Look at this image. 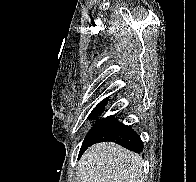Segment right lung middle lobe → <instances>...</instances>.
<instances>
[{"label":"right lung middle lobe","mask_w":196,"mask_h":182,"mask_svg":"<svg viewBox=\"0 0 196 182\" xmlns=\"http://www.w3.org/2000/svg\"><path fill=\"white\" fill-rule=\"evenodd\" d=\"M103 104L102 105H97V107H95L93 109V111L90 114V118H93L94 116H96V114H98L99 112L103 111ZM117 121L114 118V116H108L104 119L98 120L93 127L91 128V130L88 132V134L86 135L84 142L82 144V147L80 149V153L83 152L87 147H89V145L95 140V138L101 134L104 130H106L107 128H109L110 126L116 124Z\"/></svg>","instance_id":"obj_1"}]
</instances>
